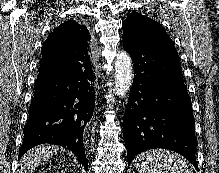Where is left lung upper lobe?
I'll list each match as a JSON object with an SVG mask.
<instances>
[{
    "mask_svg": "<svg viewBox=\"0 0 219 173\" xmlns=\"http://www.w3.org/2000/svg\"><path fill=\"white\" fill-rule=\"evenodd\" d=\"M123 42L175 48L163 26L141 13H130L123 23Z\"/></svg>",
    "mask_w": 219,
    "mask_h": 173,
    "instance_id": "left-lung-upper-lobe-1",
    "label": "left lung upper lobe"
}]
</instances>
